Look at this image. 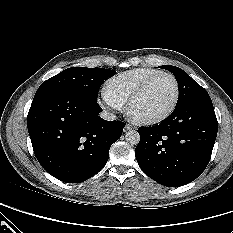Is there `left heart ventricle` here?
<instances>
[{"instance_id": "left-heart-ventricle-1", "label": "left heart ventricle", "mask_w": 233, "mask_h": 233, "mask_svg": "<svg viewBox=\"0 0 233 233\" xmlns=\"http://www.w3.org/2000/svg\"><path fill=\"white\" fill-rule=\"evenodd\" d=\"M175 97V85L171 78L156 79L134 104L132 113L139 117H154L165 112Z\"/></svg>"}]
</instances>
